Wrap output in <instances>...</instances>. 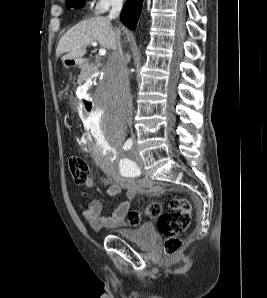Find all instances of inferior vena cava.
<instances>
[{
    "mask_svg": "<svg viewBox=\"0 0 267 298\" xmlns=\"http://www.w3.org/2000/svg\"><path fill=\"white\" fill-rule=\"evenodd\" d=\"M123 5V0H112V8L108 18L110 20L118 18ZM129 56L123 53L119 39L113 48L112 55L109 59V68L115 73L117 78V100L118 111L121 116L130 125L132 122V96L128 79L127 60Z\"/></svg>",
    "mask_w": 267,
    "mask_h": 298,
    "instance_id": "obj_1",
    "label": "inferior vena cava"
}]
</instances>
